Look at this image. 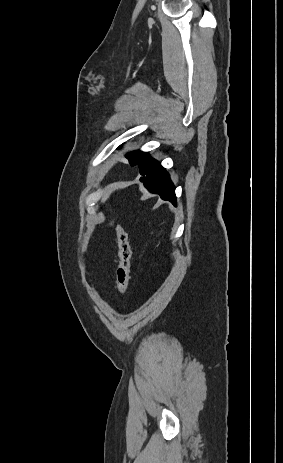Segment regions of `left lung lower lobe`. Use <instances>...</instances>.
Listing matches in <instances>:
<instances>
[{
	"label": "left lung lower lobe",
	"instance_id": "left-lung-lower-lobe-1",
	"mask_svg": "<svg viewBox=\"0 0 283 463\" xmlns=\"http://www.w3.org/2000/svg\"><path fill=\"white\" fill-rule=\"evenodd\" d=\"M136 165H138L142 175L140 181L144 182L145 187L151 192L159 194L163 200H168L176 205L174 185L160 163L153 160L148 153H144Z\"/></svg>",
	"mask_w": 283,
	"mask_h": 463
}]
</instances>
